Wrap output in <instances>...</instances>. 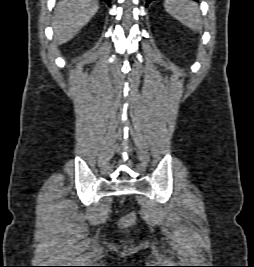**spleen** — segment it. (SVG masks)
<instances>
[{"label":"spleen","mask_w":254,"mask_h":267,"mask_svg":"<svg viewBox=\"0 0 254 267\" xmlns=\"http://www.w3.org/2000/svg\"><path fill=\"white\" fill-rule=\"evenodd\" d=\"M165 10L188 28L198 31L202 28L198 4L192 0H165Z\"/></svg>","instance_id":"1"}]
</instances>
